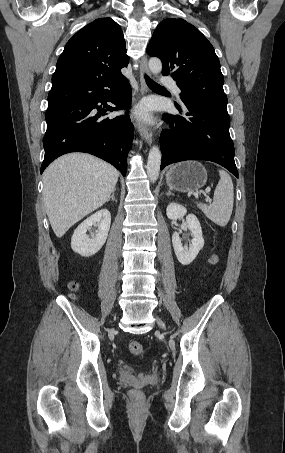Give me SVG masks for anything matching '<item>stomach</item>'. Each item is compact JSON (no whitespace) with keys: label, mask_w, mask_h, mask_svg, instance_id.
<instances>
[{"label":"stomach","mask_w":285,"mask_h":453,"mask_svg":"<svg viewBox=\"0 0 285 453\" xmlns=\"http://www.w3.org/2000/svg\"><path fill=\"white\" fill-rule=\"evenodd\" d=\"M207 182V171L197 161L180 162L172 166L166 173V184L178 192H194Z\"/></svg>","instance_id":"0dacf381"}]
</instances>
